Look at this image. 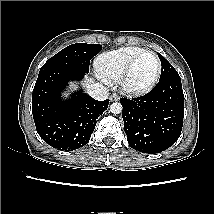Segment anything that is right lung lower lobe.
<instances>
[{"instance_id": "right-lung-lower-lobe-1", "label": "right lung lower lobe", "mask_w": 214, "mask_h": 214, "mask_svg": "<svg viewBox=\"0 0 214 214\" xmlns=\"http://www.w3.org/2000/svg\"><path fill=\"white\" fill-rule=\"evenodd\" d=\"M85 73L50 70L39 74L32 94V113L36 130L50 146L72 151L88 143L98 117L109 100L97 101L82 90L67 101L60 98L70 80H81Z\"/></svg>"}]
</instances>
